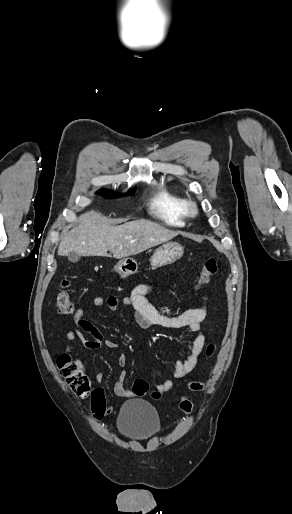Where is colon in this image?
Returning <instances> with one entry per match:
<instances>
[{
    "label": "colon",
    "instance_id": "obj_1",
    "mask_svg": "<svg viewBox=\"0 0 292 514\" xmlns=\"http://www.w3.org/2000/svg\"><path fill=\"white\" fill-rule=\"evenodd\" d=\"M219 261L216 257L206 259L199 270L196 290L201 291L210 281L218 270ZM69 281L64 280L62 286L66 288ZM56 307L60 315L69 316L74 310V303L67 291H60L56 296ZM216 351V344L209 343L206 348V357L211 358ZM57 366L69 384L70 389L75 392L81 400L88 402L91 400L93 403L92 411L94 418L101 421L105 417L106 411V398L101 389L92 388L89 377L81 370L80 366L68 354H59L57 357ZM190 388L199 392L202 391L204 386L201 382L190 383ZM135 393L139 396L145 395L149 391V384L143 378H138L133 384ZM189 391L188 389L186 390ZM152 398L159 399L160 392L153 391ZM179 409L184 413L192 411L193 404L188 399H181L178 401Z\"/></svg>",
    "mask_w": 292,
    "mask_h": 514
}]
</instances>
